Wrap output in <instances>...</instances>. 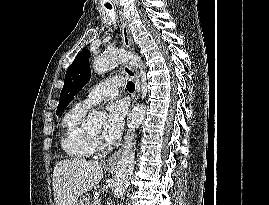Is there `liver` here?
Here are the masks:
<instances>
[{"label": "liver", "mask_w": 269, "mask_h": 205, "mask_svg": "<svg viewBox=\"0 0 269 205\" xmlns=\"http://www.w3.org/2000/svg\"><path fill=\"white\" fill-rule=\"evenodd\" d=\"M104 166L83 158L61 160L53 171L55 205H75L79 196L99 184Z\"/></svg>", "instance_id": "6515ba94"}]
</instances>
